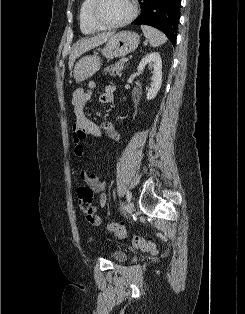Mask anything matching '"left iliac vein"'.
I'll return each mask as SVG.
<instances>
[{"label": "left iliac vein", "mask_w": 245, "mask_h": 314, "mask_svg": "<svg viewBox=\"0 0 245 314\" xmlns=\"http://www.w3.org/2000/svg\"><path fill=\"white\" fill-rule=\"evenodd\" d=\"M126 209H127L128 214H131L134 211V203L130 201Z\"/></svg>", "instance_id": "obj_1"}]
</instances>
